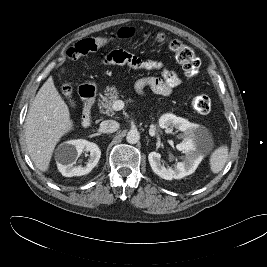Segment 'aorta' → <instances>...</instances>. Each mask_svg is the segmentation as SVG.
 <instances>
[{
    "mask_svg": "<svg viewBox=\"0 0 267 267\" xmlns=\"http://www.w3.org/2000/svg\"><path fill=\"white\" fill-rule=\"evenodd\" d=\"M140 139V134L137 129H131L126 136V140L129 144H136Z\"/></svg>",
    "mask_w": 267,
    "mask_h": 267,
    "instance_id": "obj_1",
    "label": "aorta"
}]
</instances>
